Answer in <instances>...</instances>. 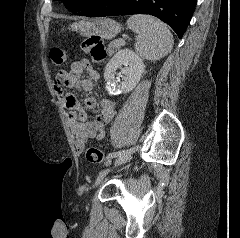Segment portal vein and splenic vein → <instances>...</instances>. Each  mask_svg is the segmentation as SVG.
I'll use <instances>...</instances> for the list:
<instances>
[{
  "label": "portal vein and splenic vein",
  "instance_id": "18ae733b",
  "mask_svg": "<svg viewBox=\"0 0 240 238\" xmlns=\"http://www.w3.org/2000/svg\"><path fill=\"white\" fill-rule=\"evenodd\" d=\"M120 43H121L122 45H124V44H125L124 40H120Z\"/></svg>",
  "mask_w": 240,
  "mask_h": 238
}]
</instances>
